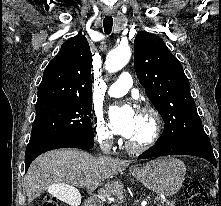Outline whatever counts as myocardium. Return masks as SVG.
<instances>
[{"label":"myocardium","mask_w":221,"mask_h":206,"mask_svg":"<svg viewBox=\"0 0 221 206\" xmlns=\"http://www.w3.org/2000/svg\"><path fill=\"white\" fill-rule=\"evenodd\" d=\"M139 114L145 115L150 119L151 132L146 140L141 143H133L130 140L126 141V148L135 153H141L152 147L158 140L162 131V120L156 108L149 104H145L139 108Z\"/></svg>","instance_id":"f54148a6"}]
</instances>
